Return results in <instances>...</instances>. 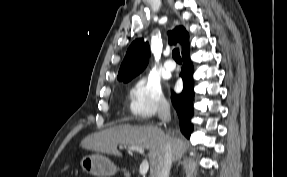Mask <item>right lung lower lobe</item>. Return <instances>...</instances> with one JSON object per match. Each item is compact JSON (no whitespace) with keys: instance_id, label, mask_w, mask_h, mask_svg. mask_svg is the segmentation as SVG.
Returning <instances> with one entry per match:
<instances>
[{"instance_id":"98d812e1","label":"right lung lower lobe","mask_w":287,"mask_h":177,"mask_svg":"<svg viewBox=\"0 0 287 177\" xmlns=\"http://www.w3.org/2000/svg\"><path fill=\"white\" fill-rule=\"evenodd\" d=\"M190 46L182 51L184 58V64L181 69L180 76L183 80V91L180 94L172 93L171 100L173 106L180 121V129L182 133L189 137L193 131V124L191 118L193 116V102H194V91H193V64L189 58Z\"/></svg>"}]
</instances>
